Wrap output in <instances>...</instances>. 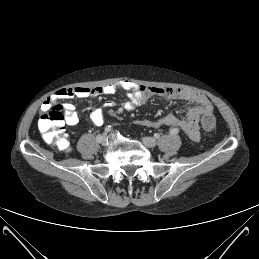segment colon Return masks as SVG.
<instances>
[{"label":"colon","mask_w":259,"mask_h":259,"mask_svg":"<svg viewBox=\"0 0 259 259\" xmlns=\"http://www.w3.org/2000/svg\"><path fill=\"white\" fill-rule=\"evenodd\" d=\"M65 113L62 105L52 104L45 110L39 120L38 129L43 139L60 150H69L68 134L64 128ZM216 120L213 114L203 115L201 125L206 131H212Z\"/></svg>","instance_id":"obj_1"}]
</instances>
